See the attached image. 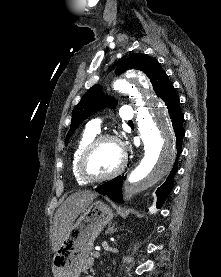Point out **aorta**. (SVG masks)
<instances>
[{
  "label": "aorta",
  "mask_w": 221,
  "mask_h": 277,
  "mask_svg": "<svg viewBox=\"0 0 221 277\" xmlns=\"http://www.w3.org/2000/svg\"><path fill=\"white\" fill-rule=\"evenodd\" d=\"M143 75L130 71L113 84L115 90L134 99L137 109V124L144 144V157L128 176L127 200L151 187L171 169L175 158V138L166 108L156 102L146 106L140 88H145Z\"/></svg>",
  "instance_id": "obj_1"
}]
</instances>
